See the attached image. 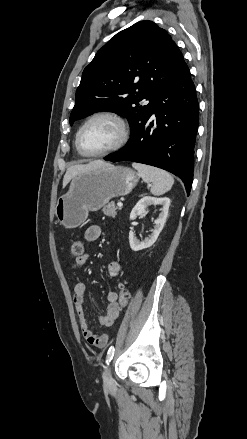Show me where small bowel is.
I'll list each match as a JSON object with an SVG mask.
<instances>
[{
	"label": "small bowel",
	"mask_w": 247,
	"mask_h": 439,
	"mask_svg": "<svg viewBox=\"0 0 247 439\" xmlns=\"http://www.w3.org/2000/svg\"><path fill=\"white\" fill-rule=\"evenodd\" d=\"M101 235H102V228L99 225L94 224L86 229L84 237L88 242H94L98 240L101 237ZM89 257L90 255L88 253L82 254L80 257H78L75 260L74 264L72 265V268L74 270L81 268L86 264ZM120 269H121L120 264L117 261L115 260L111 261L107 265V274L110 278H116L120 274ZM85 291H86V286L83 283H77L74 287V293H73V303L78 315L82 336L88 344L99 348H104L107 346L109 338L108 335L106 334L96 335L89 328L88 318L84 310ZM107 301H108V305H107L106 314L99 316L98 322L102 326L110 327L113 325V323L115 322V320L119 315L118 294L114 291L109 292L107 295Z\"/></svg>",
	"instance_id": "small-bowel-1"
}]
</instances>
